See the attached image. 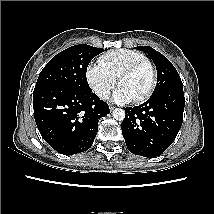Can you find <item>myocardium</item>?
Listing matches in <instances>:
<instances>
[{
  "label": "myocardium",
  "mask_w": 214,
  "mask_h": 214,
  "mask_svg": "<svg viewBox=\"0 0 214 214\" xmlns=\"http://www.w3.org/2000/svg\"><path fill=\"white\" fill-rule=\"evenodd\" d=\"M143 66H146L149 69L150 82H149L146 90L143 92V94L140 95L138 98L134 99V101L136 103H141V102L145 101L152 94V92L156 86L157 72H156V68H155L154 64L146 58L136 61V62L132 63L131 65L127 66L125 69H123L117 79L118 85H119L120 80L123 77L133 74L134 72H136L138 69H140Z\"/></svg>",
  "instance_id": "obj_1"
}]
</instances>
